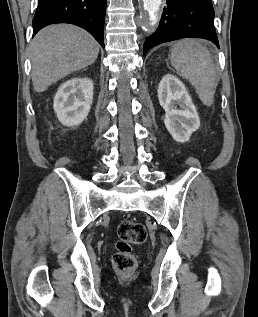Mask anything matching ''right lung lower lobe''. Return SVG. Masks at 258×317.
<instances>
[{
    "label": "right lung lower lobe",
    "instance_id": "1",
    "mask_svg": "<svg viewBox=\"0 0 258 317\" xmlns=\"http://www.w3.org/2000/svg\"><path fill=\"white\" fill-rule=\"evenodd\" d=\"M107 0H38L33 19V36L43 27L70 23L87 30L104 47Z\"/></svg>",
    "mask_w": 258,
    "mask_h": 317
}]
</instances>
